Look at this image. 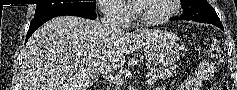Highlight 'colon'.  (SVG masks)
<instances>
[{
	"label": "colon",
	"instance_id": "1",
	"mask_svg": "<svg viewBox=\"0 0 237 90\" xmlns=\"http://www.w3.org/2000/svg\"><path fill=\"white\" fill-rule=\"evenodd\" d=\"M214 57H215V59L217 60V62L219 64L222 63L223 54H222L221 50L219 49V47L215 48ZM220 90H229V87H228V85L225 82H223L221 84Z\"/></svg>",
	"mask_w": 237,
	"mask_h": 90
}]
</instances>
